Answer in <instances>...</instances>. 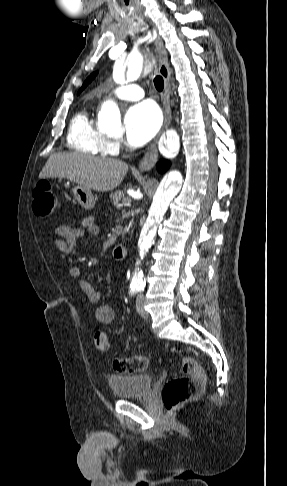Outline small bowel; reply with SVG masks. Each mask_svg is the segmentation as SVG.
I'll return each instance as SVG.
<instances>
[{"mask_svg": "<svg viewBox=\"0 0 287 486\" xmlns=\"http://www.w3.org/2000/svg\"><path fill=\"white\" fill-rule=\"evenodd\" d=\"M55 235L54 245L63 252L70 253L76 244V240L84 235H97L99 226L95 223L92 215L83 217L78 225H60L53 229ZM70 277L75 279L88 300L95 305V318L101 324H109L114 320L115 311L106 303L102 302L101 295L96 287L87 281L83 271L79 267H72L69 271Z\"/></svg>", "mask_w": 287, "mask_h": 486, "instance_id": "obj_1", "label": "small bowel"}]
</instances>
